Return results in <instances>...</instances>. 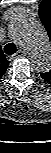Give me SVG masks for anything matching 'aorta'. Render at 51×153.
<instances>
[{
	"label": "aorta",
	"mask_w": 51,
	"mask_h": 153,
	"mask_svg": "<svg viewBox=\"0 0 51 153\" xmlns=\"http://www.w3.org/2000/svg\"><path fill=\"white\" fill-rule=\"evenodd\" d=\"M11 37L31 53L33 68L42 73L51 69V44L45 28L26 16H19L9 23Z\"/></svg>",
	"instance_id": "1"
}]
</instances>
